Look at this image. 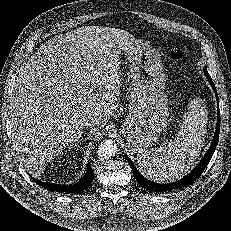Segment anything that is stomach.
<instances>
[{
    "instance_id": "obj_1",
    "label": "stomach",
    "mask_w": 231,
    "mask_h": 231,
    "mask_svg": "<svg viewBox=\"0 0 231 231\" xmlns=\"http://www.w3.org/2000/svg\"><path fill=\"white\" fill-rule=\"evenodd\" d=\"M131 79L130 109L122 133L133 152L152 146L167 125L168 98L160 55L150 45L130 41L124 48Z\"/></svg>"
}]
</instances>
